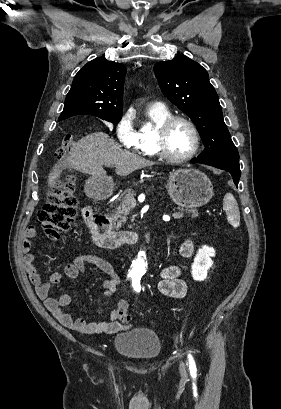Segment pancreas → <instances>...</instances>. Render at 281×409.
Returning a JSON list of instances; mask_svg holds the SVG:
<instances>
[{"label":"pancreas","instance_id":"obj_1","mask_svg":"<svg viewBox=\"0 0 281 409\" xmlns=\"http://www.w3.org/2000/svg\"><path fill=\"white\" fill-rule=\"evenodd\" d=\"M129 193H136L135 190H133V188H128V190H125V192H123V194H121V196H119L118 200H122V202H120V205H117V209L116 211H112L113 215V225H114V229H120V227H122V223H125V221H127V213L126 215H124V211L123 209H125V205L124 202L127 199V196ZM128 209H132V208H128ZM189 213H192V217H198L199 213L198 211H196V209H191V211H189Z\"/></svg>","mask_w":281,"mask_h":409}]
</instances>
